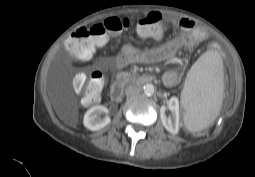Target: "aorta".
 <instances>
[{"instance_id": "1", "label": "aorta", "mask_w": 255, "mask_h": 177, "mask_svg": "<svg viewBox=\"0 0 255 177\" xmlns=\"http://www.w3.org/2000/svg\"><path fill=\"white\" fill-rule=\"evenodd\" d=\"M143 91L146 95H152L155 91L153 84L147 83L143 86Z\"/></svg>"}]
</instances>
